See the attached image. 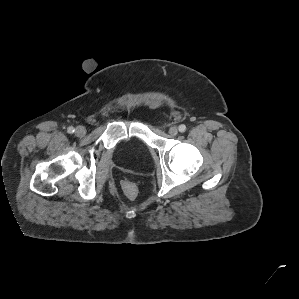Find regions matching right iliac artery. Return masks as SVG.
<instances>
[{
	"label": "right iliac artery",
	"mask_w": 299,
	"mask_h": 299,
	"mask_svg": "<svg viewBox=\"0 0 299 299\" xmlns=\"http://www.w3.org/2000/svg\"><path fill=\"white\" fill-rule=\"evenodd\" d=\"M67 131H68V133H70V134H72V133H74V128L73 127H69L68 129H67Z\"/></svg>",
	"instance_id": "1"
}]
</instances>
